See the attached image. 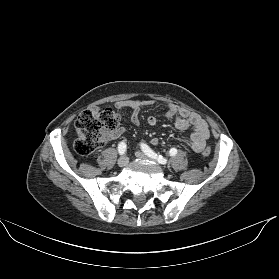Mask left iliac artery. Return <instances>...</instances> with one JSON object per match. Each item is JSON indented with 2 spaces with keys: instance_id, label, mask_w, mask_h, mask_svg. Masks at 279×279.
Returning <instances> with one entry per match:
<instances>
[{
  "instance_id": "obj_1",
  "label": "left iliac artery",
  "mask_w": 279,
  "mask_h": 279,
  "mask_svg": "<svg viewBox=\"0 0 279 279\" xmlns=\"http://www.w3.org/2000/svg\"><path fill=\"white\" fill-rule=\"evenodd\" d=\"M142 151L148 155L149 157L156 159L159 163L161 164H166L167 160L162 156V155H157L149 146L146 144L141 145ZM177 154V149L176 148H171L169 151L170 156H175Z\"/></svg>"
}]
</instances>
